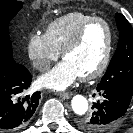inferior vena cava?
<instances>
[{"instance_id":"inferior-vena-cava-1","label":"inferior vena cava","mask_w":133,"mask_h":133,"mask_svg":"<svg viewBox=\"0 0 133 133\" xmlns=\"http://www.w3.org/2000/svg\"><path fill=\"white\" fill-rule=\"evenodd\" d=\"M36 66L41 71H46L50 68V61L46 59H41L36 62Z\"/></svg>"}]
</instances>
